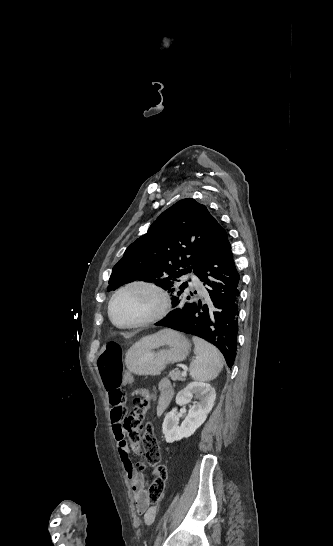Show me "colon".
Wrapping results in <instances>:
<instances>
[{"instance_id": "1", "label": "colon", "mask_w": 333, "mask_h": 546, "mask_svg": "<svg viewBox=\"0 0 333 546\" xmlns=\"http://www.w3.org/2000/svg\"><path fill=\"white\" fill-rule=\"evenodd\" d=\"M97 366L105 389L114 394L112 401L119 402L122 398L119 388L123 382L121 346L117 342L106 344L97 358ZM156 398V395H152L150 398L134 400L133 410L123 423L132 451L144 456L139 468L145 470L148 465L154 467L155 477L147 494L149 503L163 500L168 479L167 467L160 463L161 452L153 427L151 423L145 422L148 404Z\"/></svg>"}]
</instances>
